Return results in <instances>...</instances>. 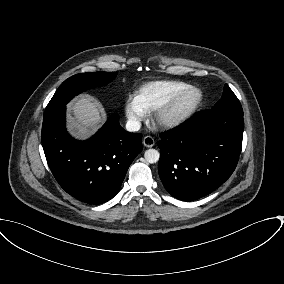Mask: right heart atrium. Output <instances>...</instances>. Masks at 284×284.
Instances as JSON below:
<instances>
[{
    "label": "right heart atrium",
    "instance_id": "1",
    "mask_svg": "<svg viewBox=\"0 0 284 284\" xmlns=\"http://www.w3.org/2000/svg\"><path fill=\"white\" fill-rule=\"evenodd\" d=\"M124 112L127 122L131 127H137L146 116V112L135 97H129L126 100Z\"/></svg>",
    "mask_w": 284,
    "mask_h": 284
}]
</instances>
